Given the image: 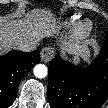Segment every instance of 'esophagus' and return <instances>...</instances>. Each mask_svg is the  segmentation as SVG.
Instances as JSON below:
<instances>
[{
  "instance_id": "34e87169",
  "label": "esophagus",
  "mask_w": 108,
  "mask_h": 108,
  "mask_svg": "<svg viewBox=\"0 0 108 108\" xmlns=\"http://www.w3.org/2000/svg\"><path fill=\"white\" fill-rule=\"evenodd\" d=\"M54 50L51 47H45L41 50V59L43 62L48 63L54 57Z\"/></svg>"
}]
</instances>
